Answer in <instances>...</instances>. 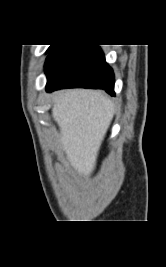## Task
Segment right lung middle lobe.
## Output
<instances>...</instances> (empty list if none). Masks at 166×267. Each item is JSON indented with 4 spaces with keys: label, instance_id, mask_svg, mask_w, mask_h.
Instances as JSON below:
<instances>
[{
    "label": "right lung middle lobe",
    "instance_id": "1",
    "mask_svg": "<svg viewBox=\"0 0 166 267\" xmlns=\"http://www.w3.org/2000/svg\"><path fill=\"white\" fill-rule=\"evenodd\" d=\"M53 46H54V45H51V46L49 47L48 51H50V50L52 49Z\"/></svg>",
    "mask_w": 166,
    "mask_h": 267
}]
</instances>
